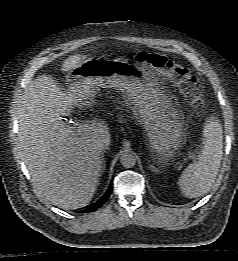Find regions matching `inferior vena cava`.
I'll use <instances>...</instances> for the list:
<instances>
[{"mask_svg": "<svg viewBox=\"0 0 238 261\" xmlns=\"http://www.w3.org/2000/svg\"><path fill=\"white\" fill-rule=\"evenodd\" d=\"M108 146L109 144H106V143H100L98 146H97V149L98 151L103 154V151H105L106 149H108Z\"/></svg>", "mask_w": 238, "mask_h": 261, "instance_id": "1", "label": "inferior vena cava"}]
</instances>
